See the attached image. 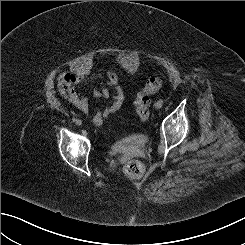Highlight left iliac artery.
Instances as JSON below:
<instances>
[{"label":"left iliac artery","mask_w":245,"mask_h":245,"mask_svg":"<svg viewBox=\"0 0 245 245\" xmlns=\"http://www.w3.org/2000/svg\"><path fill=\"white\" fill-rule=\"evenodd\" d=\"M158 103L162 105V104L164 103V101H163L162 99H160V100L158 101Z\"/></svg>","instance_id":"left-iliac-artery-1"}]
</instances>
